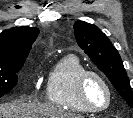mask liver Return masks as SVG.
Masks as SVG:
<instances>
[{"label":"liver","mask_w":133,"mask_h":118,"mask_svg":"<svg viewBox=\"0 0 133 118\" xmlns=\"http://www.w3.org/2000/svg\"><path fill=\"white\" fill-rule=\"evenodd\" d=\"M0 118H83L48 104L9 102L0 104Z\"/></svg>","instance_id":"1"}]
</instances>
